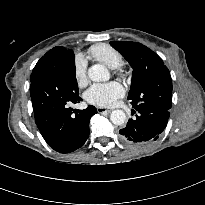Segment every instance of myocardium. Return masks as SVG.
I'll return each mask as SVG.
<instances>
[{
	"label": "myocardium",
	"mask_w": 205,
	"mask_h": 205,
	"mask_svg": "<svg viewBox=\"0 0 205 205\" xmlns=\"http://www.w3.org/2000/svg\"><path fill=\"white\" fill-rule=\"evenodd\" d=\"M115 73L125 80L128 78L127 73L122 68H115Z\"/></svg>",
	"instance_id": "myocardium-1"
}]
</instances>
